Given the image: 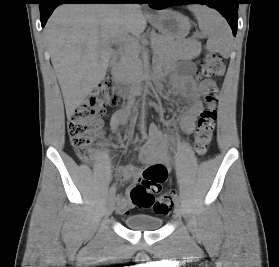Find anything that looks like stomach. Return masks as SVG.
<instances>
[{"mask_svg":"<svg viewBox=\"0 0 279 267\" xmlns=\"http://www.w3.org/2000/svg\"><path fill=\"white\" fill-rule=\"evenodd\" d=\"M150 22L162 35L172 40L184 39L191 28L188 17L172 10L159 12Z\"/></svg>","mask_w":279,"mask_h":267,"instance_id":"stomach-1","label":"stomach"}]
</instances>
